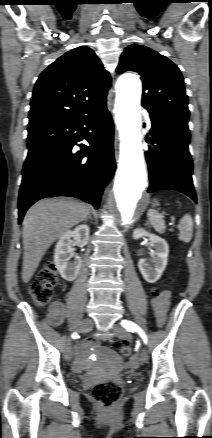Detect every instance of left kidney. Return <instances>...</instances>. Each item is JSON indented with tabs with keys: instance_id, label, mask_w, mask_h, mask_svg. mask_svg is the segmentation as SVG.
I'll return each instance as SVG.
<instances>
[{
	"instance_id": "5707ae66",
	"label": "left kidney",
	"mask_w": 212,
	"mask_h": 438,
	"mask_svg": "<svg viewBox=\"0 0 212 438\" xmlns=\"http://www.w3.org/2000/svg\"><path fill=\"white\" fill-rule=\"evenodd\" d=\"M142 237H148L151 241V246L155 249L152 260L154 267H150L145 259H140L138 262V268L147 282L155 283L161 277L167 265L169 246L165 239L149 233L143 228H137L133 232V238L137 240Z\"/></svg>"
}]
</instances>
